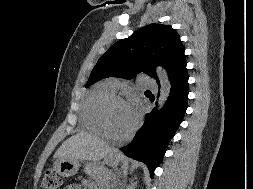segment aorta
I'll return each instance as SVG.
<instances>
[{
    "label": "aorta",
    "instance_id": "762f6f07",
    "mask_svg": "<svg viewBox=\"0 0 253 189\" xmlns=\"http://www.w3.org/2000/svg\"><path fill=\"white\" fill-rule=\"evenodd\" d=\"M156 72L159 77L160 85H161L160 97L158 101L159 102L158 108L160 109L168 99V96L170 94V89H171V83H170L167 72L163 68L157 67Z\"/></svg>",
    "mask_w": 253,
    "mask_h": 189
}]
</instances>
